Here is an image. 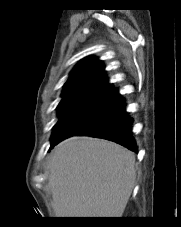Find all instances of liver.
<instances>
[{
	"label": "liver",
	"mask_w": 181,
	"mask_h": 227,
	"mask_svg": "<svg viewBox=\"0 0 181 227\" xmlns=\"http://www.w3.org/2000/svg\"><path fill=\"white\" fill-rule=\"evenodd\" d=\"M56 217H122L135 185V155L103 139L71 137L48 164Z\"/></svg>",
	"instance_id": "1"
}]
</instances>
